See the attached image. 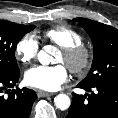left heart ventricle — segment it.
<instances>
[{"instance_id":"obj_1","label":"left heart ventricle","mask_w":118,"mask_h":118,"mask_svg":"<svg viewBox=\"0 0 118 118\" xmlns=\"http://www.w3.org/2000/svg\"><path fill=\"white\" fill-rule=\"evenodd\" d=\"M58 62H63L64 63V56H63L62 53L59 54Z\"/></svg>"}]
</instances>
